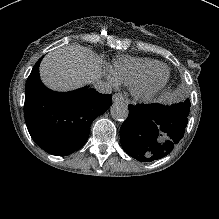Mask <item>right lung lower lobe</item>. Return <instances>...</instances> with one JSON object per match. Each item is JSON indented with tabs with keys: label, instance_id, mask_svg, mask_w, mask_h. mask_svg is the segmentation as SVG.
Listing matches in <instances>:
<instances>
[{
	"label": "right lung lower lobe",
	"instance_id": "obj_1",
	"mask_svg": "<svg viewBox=\"0 0 219 219\" xmlns=\"http://www.w3.org/2000/svg\"><path fill=\"white\" fill-rule=\"evenodd\" d=\"M40 62L41 59L26 83V125L43 150L67 155L85 144L91 123L111 105V95L100 94L87 86L63 93L49 90L39 78Z\"/></svg>",
	"mask_w": 219,
	"mask_h": 219
}]
</instances>
